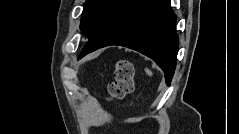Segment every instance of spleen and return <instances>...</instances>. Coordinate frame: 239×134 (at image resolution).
Listing matches in <instances>:
<instances>
[{
    "instance_id": "obj_1",
    "label": "spleen",
    "mask_w": 239,
    "mask_h": 134,
    "mask_svg": "<svg viewBox=\"0 0 239 134\" xmlns=\"http://www.w3.org/2000/svg\"><path fill=\"white\" fill-rule=\"evenodd\" d=\"M145 72L146 74H148V76H152V71L149 70L148 68H145Z\"/></svg>"
}]
</instances>
